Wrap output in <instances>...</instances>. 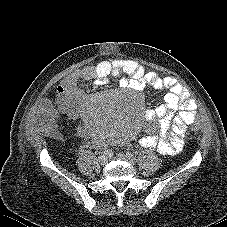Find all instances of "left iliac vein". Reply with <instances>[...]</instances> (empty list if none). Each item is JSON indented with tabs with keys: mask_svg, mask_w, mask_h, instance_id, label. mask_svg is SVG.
I'll list each match as a JSON object with an SVG mask.
<instances>
[{
	"mask_svg": "<svg viewBox=\"0 0 227 227\" xmlns=\"http://www.w3.org/2000/svg\"><path fill=\"white\" fill-rule=\"evenodd\" d=\"M117 157L121 160L128 161L131 164L137 162L136 158L131 153H119Z\"/></svg>",
	"mask_w": 227,
	"mask_h": 227,
	"instance_id": "obj_1",
	"label": "left iliac vein"
}]
</instances>
